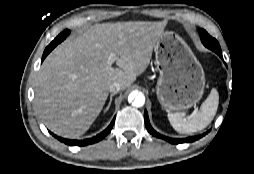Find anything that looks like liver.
I'll use <instances>...</instances> for the list:
<instances>
[{
  "label": "liver",
  "instance_id": "6515ba94",
  "mask_svg": "<svg viewBox=\"0 0 254 174\" xmlns=\"http://www.w3.org/2000/svg\"><path fill=\"white\" fill-rule=\"evenodd\" d=\"M166 24H96L55 48L36 79L35 108L46 127L65 138L82 136L102 111L110 84L125 90L147 69ZM111 54L119 68L109 64Z\"/></svg>",
  "mask_w": 254,
  "mask_h": 174
}]
</instances>
